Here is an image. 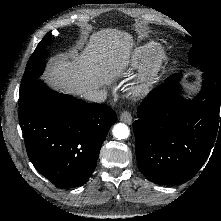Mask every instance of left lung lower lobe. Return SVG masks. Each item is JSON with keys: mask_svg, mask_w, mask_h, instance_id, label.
I'll use <instances>...</instances> for the list:
<instances>
[{"mask_svg": "<svg viewBox=\"0 0 221 221\" xmlns=\"http://www.w3.org/2000/svg\"><path fill=\"white\" fill-rule=\"evenodd\" d=\"M181 76L173 74L153 89L133 123L137 166L156 184L190 180L207 160L217 134L221 137V80L203 72L202 90L191 101L178 93Z\"/></svg>", "mask_w": 221, "mask_h": 221, "instance_id": "obj_1", "label": "left lung lower lobe"}]
</instances>
